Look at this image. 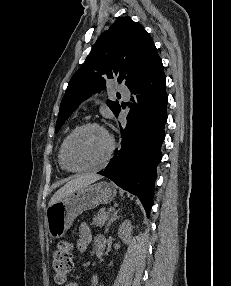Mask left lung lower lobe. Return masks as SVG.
I'll list each match as a JSON object with an SVG mask.
<instances>
[{
	"label": "left lung lower lobe",
	"instance_id": "1",
	"mask_svg": "<svg viewBox=\"0 0 231 286\" xmlns=\"http://www.w3.org/2000/svg\"><path fill=\"white\" fill-rule=\"evenodd\" d=\"M128 88L136 95L137 102L131 98L128 124L124 129L120 126L121 146L98 174L138 196L149 216L167 120L168 96L161 59L158 58Z\"/></svg>",
	"mask_w": 231,
	"mask_h": 286
}]
</instances>
